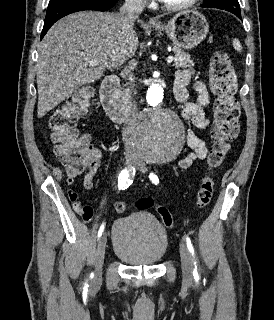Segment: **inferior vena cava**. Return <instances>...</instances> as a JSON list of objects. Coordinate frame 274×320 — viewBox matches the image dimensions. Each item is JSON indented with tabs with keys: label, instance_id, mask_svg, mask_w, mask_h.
<instances>
[{
	"label": "inferior vena cava",
	"instance_id": "inferior-vena-cava-1",
	"mask_svg": "<svg viewBox=\"0 0 274 320\" xmlns=\"http://www.w3.org/2000/svg\"><path fill=\"white\" fill-rule=\"evenodd\" d=\"M145 8V0H125L124 6L120 8L119 10V16H120V24H119V30L123 36H133L135 34L133 28L134 24L139 18L140 14H142L143 10ZM129 80V84L131 86V94H133V90L136 86L135 84V78L133 74H130V70H127L126 72ZM138 116V108H137V102L134 100V98H131L129 102V118L125 124V128H123V138L124 142L127 140V128L128 126H133L134 120H136Z\"/></svg>",
	"mask_w": 274,
	"mask_h": 320
}]
</instances>
